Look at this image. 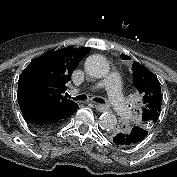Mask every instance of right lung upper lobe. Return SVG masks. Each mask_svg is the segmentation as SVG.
<instances>
[{"mask_svg": "<svg viewBox=\"0 0 177 177\" xmlns=\"http://www.w3.org/2000/svg\"><path fill=\"white\" fill-rule=\"evenodd\" d=\"M88 48H61L32 61L18 81L20 106L44 107L49 110L69 111L77 104L65 97V84L86 55Z\"/></svg>", "mask_w": 177, "mask_h": 177, "instance_id": "right-lung-upper-lobe-1", "label": "right lung upper lobe"}]
</instances>
